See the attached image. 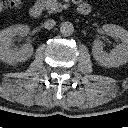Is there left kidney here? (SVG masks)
I'll use <instances>...</instances> for the list:
<instances>
[{"label":"left kidney","mask_w":128,"mask_h":128,"mask_svg":"<svg viewBox=\"0 0 128 128\" xmlns=\"http://www.w3.org/2000/svg\"><path fill=\"white\" fill-rule=\"evenodd\" d=\"M104 32L114 38L121 40V44L116 46L110 53L103 51L102 43L95 40L92 54L95 60L105 67H118L128 62V31L114 24H105Z\"/></svg>","instance_id":"left-kidney-1"}]
</instances>
